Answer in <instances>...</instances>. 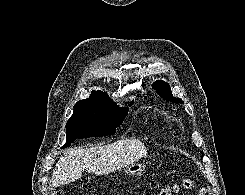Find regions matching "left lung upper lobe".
I'll return each instance as SVG.
<instances>
[{"label": "left lung upper lobe", "instance_id": "5c2ea615", "mask_svg": "<svg viewBox=\"0 0 245 195\" xmlns=\"http://www.w3.org/2000/svg\"><path fill=\"white\" fill-rule=\"evenodd\" d=\"M152 87L156 89L157 93L164 99L169 100L171 102L183 103L180 98H175L172 96V92L168 83L163 81H156L152 84Z\"/></svg>", "mask_w": 245, "mask_h": 195}]
</instances>
